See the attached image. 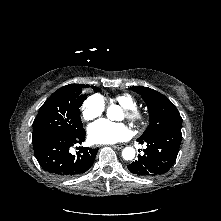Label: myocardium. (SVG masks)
<instances>
[{
	"mask_svg": "<svg viewBox=\"0 0 221 221\" xmlns=\"http://www.w3.org/2000/svg\"><path fill=\"white\" fill-rule=\"evenodd\" d=\"M125 117L131 123H140L144 119V114L137 108L125 109Z\"/></svg>",
	"mask_w": 221,
	"mask_h": 221,
	"instance_id": "obj_1",
	"label": "myocardium"
}]
</instances>
